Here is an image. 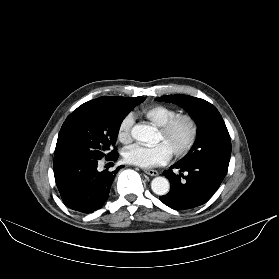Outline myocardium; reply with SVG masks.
<instances>
[{
  "label": "myocardium",
  "instance_id": "1",
  "mask_svg": "<svg viewBox=\"0 0 279 279\" xmlns=\"http://www.w3.org/2000/svg\"><path fill=\"white\" fill-rule=\"evenodd\" d=\"M180 120L188 121L190 125V135L183 148L172 152V155L175 157H182L187 155L193 148L198 136V123L195 117L190 113H178L177 115L169 119L164 125L159 127V132L163 136H167Z\"/></svg>",
  "mask_w": 279,
  "mask_h": 279
}]
</instances>
